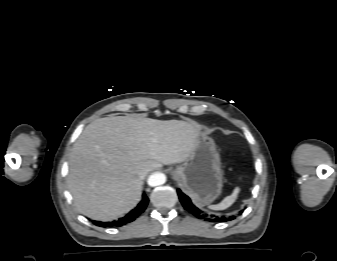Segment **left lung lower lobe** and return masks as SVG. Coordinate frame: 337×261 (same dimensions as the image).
<instances>
[{"label": "left lung lower lobe", "instance_id": "left-lung-lower-lobe-1", "mask_svg": "<svg viewBox=\"0 0 337 261\" xmlns=\"http://www.w3.org/2000/svg\"><path fill=\"white\" fill-rule=\"evenodd\" d=\"M178 195H179V199L183 205V207L191 214H193L194 216H196L197 218L200 219H204L205 221H210V222H225L228 220H233L235 218V216H217V215H213V214H207L201 210H199L196 206H194V204L192 203V201L190 200V198L188 196H186L184 193L181 192V190H177ZM242 213V211H240V214Z\"/></svg>", "mask_w": 337, "mask_h": 261}]
</instances>
